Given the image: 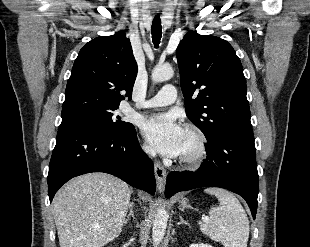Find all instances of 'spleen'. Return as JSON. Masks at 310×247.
Masks as SVG:
<instances>
[{"mask_svg": "<svg viewBox=\"0 0 310 247\" xmlns=\"http://www.w3.org/2000/svg\"><path fill=\"white\" fill-rule=\"evenodd\" d=\"M205 192L215 195L219 205L212 206L209 217L199 221L201 232L225 247H247L249 220L239 200L221 188H208Z\"/></svg>", "mask_w": 310, "mask_h": 247, "instance_id": "spleen-1", "label": "spleen"}]
</instances>
